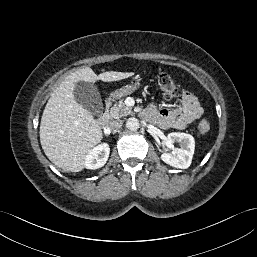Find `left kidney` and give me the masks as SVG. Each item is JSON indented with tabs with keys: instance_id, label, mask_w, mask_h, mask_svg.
<instances>
[{
	"instance_id": "1",
	"label": "left kidney",
	"mask_w": 257,
	"mask_h": 257,
	"mask_svg": "<svg viewBox=\"0 0 257 257\" xmlns=\"http://www.w3.org/2000/svg\"><path fill=\"white\" fill-rule=\"evenodd\" d=\"M168 141L170 144L179 143L180 148L174 149L172 153H163L161 155L162 161L175 168H188L195 149L193 136L186 133L172 132L168 134Z\"/></svg>"
}]
</instances>
